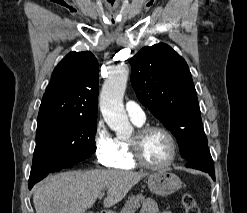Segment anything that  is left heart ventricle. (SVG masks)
<instances>
[{
  "mask_svg": "<svg viewBox=\"0 0 247 213\" xmlns=\"http://www.w3.org/2000/svg\"><path fill=\"white\" fill-rule=\"evenodd\" d=\"M141 154L147 162L160 165L165 163L170 155V143L160 131L148 133L141 142Z\"/></svg>",
  "mask_w": 247,
  "mask_h": 213,
  "instance_id": "1",
  "label": "left heart ventricle"
}]
</instances>
